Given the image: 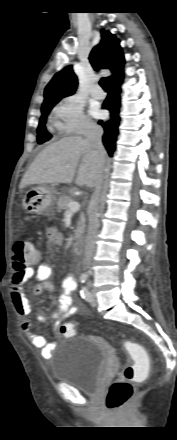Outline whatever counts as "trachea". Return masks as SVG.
I'll return each instance as SVG.
<instances>
[{"instance_id":"3493384b","label":"trachea","mask_w":177,"mask_h":440,"mask_svg":"<svg viewBox=\"0 0 177 440\" xmlns=\"http://www.w3.org/2000/svg\"><path fill=\"white\" fill-rule=\"evenodd\" d=\"M99 84H100V86L104 89V90H108V85H107V82H106V79L105 78H101V80L99 81Z\"/></svg>"}]
</instances>
